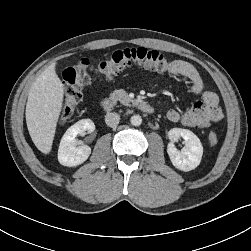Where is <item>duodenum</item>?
I'll use <instances>...</instances> for the list:
<instances>
[{"label":"duodenum","instance_id":"1","mask_svg":"<svg viewBox=\"0 0 251 251\" xmlns=\"http://www.w3.org/2000/svg\"><path fill=\"white\" fill-rule=\"evenodd\" d=\"M133 105L140 111L152 114L154 112V107L144 100H135ZM116 106V101L111 98H105L101 101V107L106 112H111Z\"/></svg>","mask_w":251,"mask_h":251}]
</instances>
